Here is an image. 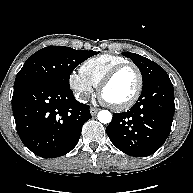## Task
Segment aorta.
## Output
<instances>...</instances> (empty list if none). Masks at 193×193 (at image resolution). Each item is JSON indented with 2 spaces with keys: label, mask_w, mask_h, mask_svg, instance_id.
Instances as JSON below:
<instances>
[{
  "label": "aorta",
  "mask_w": 193,
  "mask_h": 193,
  "mask_svg": "<svg viewBox=\"0 0 193 193\" xmlns=\"http://www.w3.org/2000/svg\"><path fill=\"white\" fill-rule=\"evenodd\" d=\"M98 120L104 124L110 123L112 120V114L108 110H101L98 113Z\"/></svg>",
  "instance_id": "aorta-1"
}]
</instances>
